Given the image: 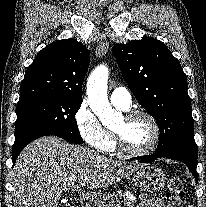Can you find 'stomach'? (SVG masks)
I'll list each match as a JSON object with an SVG mask.
<instances>
[{"instance_id":"stomach-1","label":"stomach","mask_w":206,"mask_h":207,"mask_svg":"<svg viewBox=\"0 0 206 207\" xmlns=\"http://www.w3.org/2000/svg\"><path fill=\"white\" fill-rule=\"evenodd\" d=\"M167 177L162 169L153 165H140L134 172L132 182L135 187L148 193L160 191Z\"/></svg>"}]
</instances>
